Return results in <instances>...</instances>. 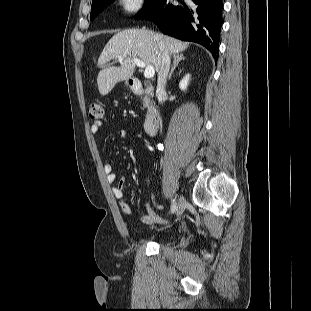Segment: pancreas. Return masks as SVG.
I'll return each mask as SVG.
<instances>
[{"label":"pancreas","instance_id":"pancreas-1","mask_svg":"<svg viewBox=\"0 0 311 311\" xmlns=\"http://www.w3.org/2000/svg\"><path fill=\"white\" fill-rule=\"evenodd\" d=\"M142 104L144 107L148 106L150 103V98L149 97H141Z\"/></svg>","mask_w":311,"mask_h":311}]
</instances>
